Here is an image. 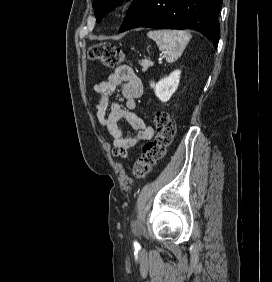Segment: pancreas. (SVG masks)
Segmentation results:
<instances>
[{
  "label": "pancreas",
  "instance_id": "cf45deb5",
  "mask_svg": "<svg viewBox=\"0 0 272 282\" xmlns=\"http://www.w3.org/2000/svg\"><path fill=\"white\" fill-rule=\"evenodd\" d=\"M139 64L142 66L143 71H146L149 67L153 66V63L147 60H142Z\"/></svg>",
  "mask_w": 272,
  "mask_h": 282
}]
</instances>
